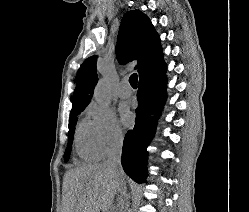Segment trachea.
<instances>
[{
  "instance_id": "1",
  "label": "trachea",
  "mask_w": 249,
  "mask_h": 212,
  "mask_svg": "<svg viewBox=\"0 0 249 212\" xmlns=\"http://www.w3.org/2000/svg\"><path fill=\"white\" fill-rule=\"evenodd\" d=\"M130 85L133 88H137V83H138V76L137 73H133L130 78H129Z\"/></svg>"
}]
</instances>
